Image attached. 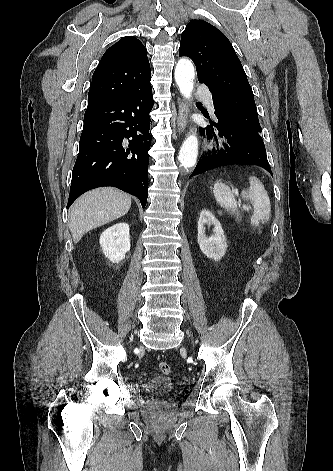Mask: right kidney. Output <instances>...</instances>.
<instances>
[{
  "label": "right kidney",
  "mask_w": 333,
  "mask_h": 471,
  "mask_svg": "<svg viewBox=\"0 0 333 471\" xmlns=\"http://www.w3.org/2000/svg\"><path fill=\"white\" fill-rule=\"evenodd\" d=\"M100 245L104 255L113 263H118L130 251L129 225L117 223L106 229L100 236Z\"/></svg>",
  "instance_id": "ca27d5eb"
}]
</instances>
